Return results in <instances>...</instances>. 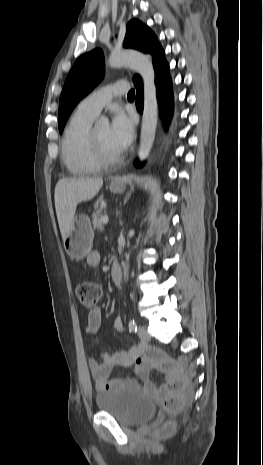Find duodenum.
Wrapping results in <instances>:
<instances>
[{"label":"duodenum","mask_w":263,"mask_h":465,"mask_svg":"<svg viewBox=\"0 0 263 465\" xmlns=\"http://www.w3.org/2000/svg\"><path fill=\"white\" fill-rule=\"evenodd\" d=\"M111 276L113 279V282L116 285H119L122 281V270L120 265L117 262H113L112 267H111Z\"/></svg>","instance_id":"duodenum-1"}]
</instances>
